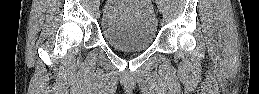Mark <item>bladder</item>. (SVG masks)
Returning <instances> with one entry per match:
<instances>
[{"mask_svg":"<svg viewBox=\"0 0 259 94\" xmlns=\"http://www.w3.org/2000/svg\"><path fill=\"white\" fill-rule=\"evenodd\" d=\"M100 32L116 49L142 51L154 43L158 20L148 0H108L100 17Z\"/></svg>","mask_w":259,"mask_h":94,"instance_id":"obj_1","label":"bladder"}]
</instances>
